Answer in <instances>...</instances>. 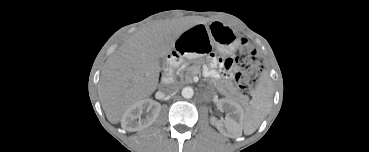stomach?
Returning a JSON list of instances; mask_svg holds the SVG:
<instances>
[{
    "label": "stomach",
    "mask_w": 369,
    "mask_h": 152,
    "mask_svg": "<svg viewBox=\"0 0 369 152\" xmlns=\"http://www.w3.org/2000/svg\"><path fill=\"white\" fill-rule=\"evenodd\" d=\"M210 37L212 42L221 52L228 54L236 45L238 37L236 33L227 25L213 22L210 25Z\"/></svg>",
    "instance_id": "0dacf381"
}]
</instances>
